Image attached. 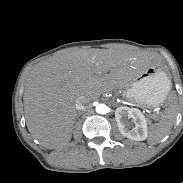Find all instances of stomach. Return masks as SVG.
I'll return each instance as SVG.
<instances>
[{"instance_id": "stomach-1", "label": "stomach", "mask_w": 183, "mask_h": 183, "mask_svg": "<svg viewBox=\"0 0 183 183\" xmlns=\"http://www.w3.org/2000/svg\"><path fill=\"white\" fill-rule=\"evenodd\" d=\"M140 77L146 82L144 90H134L133 87ZM125 96L147 107H157L164 103L171 89V82L166 73L160 68L148 67L134 75L123 88Z\"/></svg>"}]
</instances>
